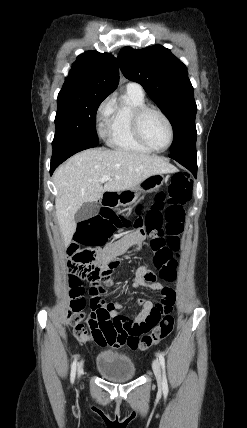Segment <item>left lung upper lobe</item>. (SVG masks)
Wrapping results in <instances>:
<instances>
[{
  "label": "left lung upper lobe",
  "mask_w": 247,
  "mask_h": 428,
  "mask_svg": "<svg viewBox=\"0 0 247 428\" xmlns=\"http://www.w3.org/2000/svg\"><path fill=\"white\" fill-rule=\"evenodd\" d=\"M118 61L124 76L141 84L170 120L175 132L171 154L196 153L197 106L184 64L161 45L124 47Z\"/></svg>",
  "instance_id": "obj_1"
}]
</instances>
